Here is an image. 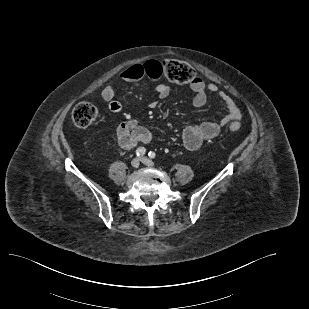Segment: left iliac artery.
<instances>
[{"instance_id":"obj_1","label":"left iliac artery","mask_w":309,"mask_h":309,"mask_svg":"<svg viewBox=\"0 0 309 309\" xmlns=\"http://www.w3.org/2000/svg\"><path fill=\"white\" fill-rule=\"evenodd\" d=\"M148 156H149L151 159H155V158H156L155 152H152V151L149 152Z\"/></svg>"}]
</instances>
